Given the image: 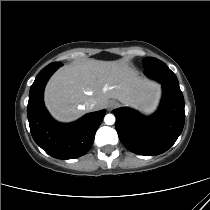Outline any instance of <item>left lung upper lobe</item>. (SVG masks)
I'll return each instance as SVG.
<instances>
[{"instance_id": "5c2ea615", "label": "left lung upper lobe", "mask_w": 210, "mask_h": 210, "mask_svg": "<svg viewBox=\"0 0 210 210\" xmlns=\"http://www.w3.org/2000/svg\"><path fill=\"white\" fill-rule=\"evenodd\" d=\"M160 60L157 58H153V57H149V58H145L142 60V63L144 65V68L151 66L157 62H159Z\"/></svg>"}]
</instances>
